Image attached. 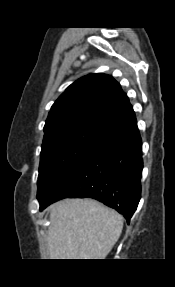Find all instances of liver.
<instances>
[{
    "mask_svg": "<svg viewBox=\"0 0 175 287\" xmlns=\"http://www.w3.org/2000/svg\"><path fill=\"white\" fill-rule=\"evenodd\" d=\"M50 259H105L123 229V217L92 199H67L50 207Z\"/></svg>",
    "mask_w": 175,
    "mask_h": 287,
    "instance_id": "liver-1",
    "label": "liver"
}]
</instances>
